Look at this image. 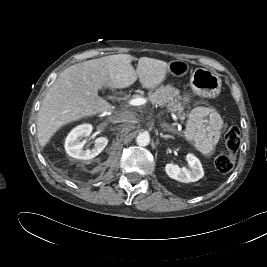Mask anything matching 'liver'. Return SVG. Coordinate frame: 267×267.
<instances>
[{"mask_svg": "<svg viewBox=\"0 0 267 267\" xmlns=\"http://www.w3.org/2000/svg\"><path fill=\"white\" fill-rule=\"evenodd\" d=\"M129 54L109 55L72 65L48 89L37 117V136L42 147L64 125L114 107L98 95L103 87L123 89L137 78L146 89H154L166 78L169 63L149 57L138 60Z\"/></svg>", "mask_w": 267, "mask_h": 267, "instance_id": "obj_1", "label": "liver"}]
</instances>
